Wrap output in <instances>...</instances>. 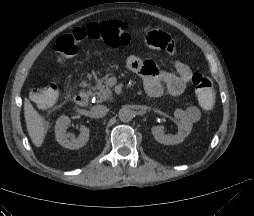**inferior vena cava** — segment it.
Listing matches in <instances>:
<instances>
[{
  "instance_id": "1",
  "label": "inferior vena cava",
  "mask_w": 254,
  "mask_h": 216,
  "mask_svg": "<svg viewBox=\"0 0 254 216\" xmlns=\"http://www.w3.org/2000/svg\"><path fill=\"white\" fill-rule=\"evenodd\" d=\"M109 109L104 105H96L91 108V115L94 118H101L108 113Z\"/></svg>"
}]
</instances>
